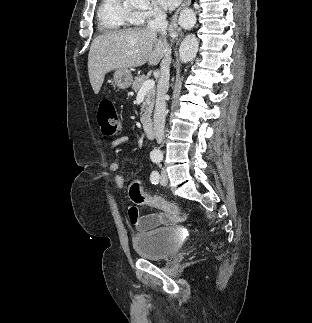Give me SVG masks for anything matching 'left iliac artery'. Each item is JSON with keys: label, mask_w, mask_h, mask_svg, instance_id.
Wrapping results in <instances>:
<instances>
[{"label": "left iliac artery", "mask_w": 312, "mask_h": 323, "mask_svg": "<svg viewBox=\"0 0 312 323\" xmlns=\"http://www.w3.org/2000/svg\"><path fill=\"white\" fill-rule=\"evenodd\" d=\"M161 158H153V161L156 163H160L161 162ZM159 173L157 171H153L150 175V180L152 182V184H157L159 182Z\"/></svg>", "instance_id": "left-iliac-artery-1"}]
</instances>
